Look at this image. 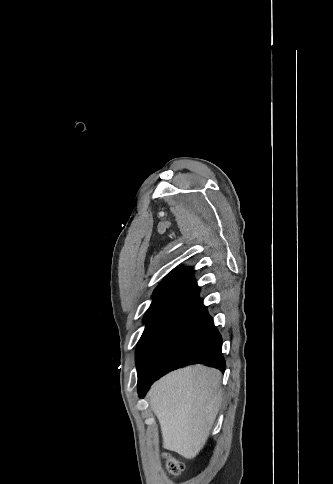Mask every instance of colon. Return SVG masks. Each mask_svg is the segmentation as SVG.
I'll use <instances>...</instances> for the list:
<instances>
[{
	"instance_id": "colon-1",
	"label": "colon",
	"mask_w": 333,
	"mask_h": 484,
	"mask_svg": "<svg viewBox=\"0 0 333 484\" xmlns=\"http://www.w3.org/2000/svg\"><path fill=\"white\" fill-rule=\"evenodd\" d=\"M164 458H165V461H166V467H167V470L173 474V475H178L180 474L183 469H184V466L182 464V462H180L178 459L170 456V455H164Z\"/></svg>"
}]
</instances>
